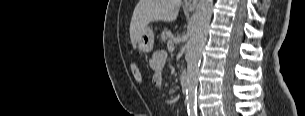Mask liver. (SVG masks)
I'll return each mask as SVG.
<instances>
[{
  "label": "liver",
  "instance_id": "liver-1",
  "mask_svg": "<svg viewBox=\"0 0 305 116\" xmlns=\"http://www.w3.org/2000/svg\"><path fill=\"white\" fill-rule=\"evenodd\" d=\"M181 3L182 0H139L130 23V39L133 48H136L142 32L149 23L175 21Z\"/></svg>",
  "mask_w": 305,
  "mask_h": 116
}]
</instances>
